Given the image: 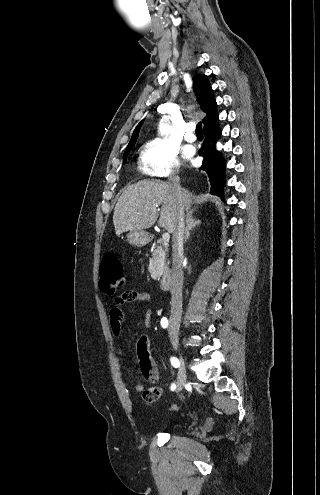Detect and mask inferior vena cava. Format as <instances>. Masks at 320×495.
Instances as JSON below:
<instances>
[{"label":"inferior vena cava","instance_id":"obj_1","mask_svg":"<svg viewBox=\"0 0 320 495\" xmlns=\"http://www.w3.org/2000/svg\"><path fill=\"white\" fill-rule=\"evenodd\" d=\"M171 190L178 201L176 225L172 237V286H171V315L170 329L178 331L182 316V288H183V270L182 255L184 242V207L182 204V192L180 187V178L174 173L169 180Z\"/></svg>","mask_w":320,"mask_h":495}]
</instances>
